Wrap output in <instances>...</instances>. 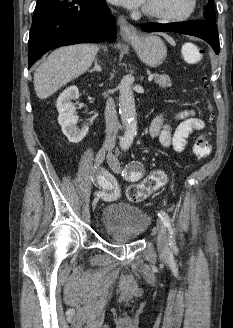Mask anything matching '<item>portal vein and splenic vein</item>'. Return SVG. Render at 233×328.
Masks as SVG:
<instances>
[{
  "instance_id": "18ae733b",
  "label": "portal vein and splenic vein",
  "mask_w": 233,
  "mask_h": 328,
  "mask_svg": "<svg viewBox=\"0 0 233 328\" xmlns=\"http://www.w3.org/2000/svg\"><path fill=\"white\" fill-rule=\"evenodd\" d=\"M152 80H153V75H149L148 81H152Z\"/></svg>"
}]
</instances>
